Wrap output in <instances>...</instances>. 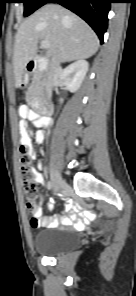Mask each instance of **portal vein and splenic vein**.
Returning <instances> with one entry per match:
<instances>
[{
  "mask_svg": "<svg viewBox=\"0 0 136 296\" xmlns=\"http://www.w3.org/2000/svg\"><path fill=\"white\" fill-rule=\"evenodd\" d=\"M41 47L44 49H48L50 47V43L46 40L41 41Z\"/></svg>",
  "mask_w": 136,
  "mask_h": 296,
  "instance_id": "18ae733b",
  "label": "portal vein and splenic vein"
}]
</instances>
